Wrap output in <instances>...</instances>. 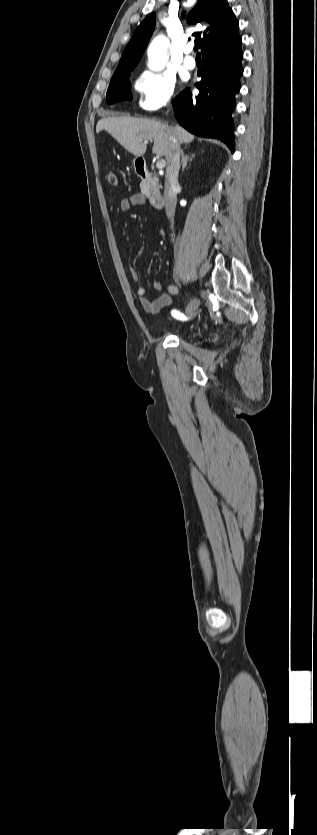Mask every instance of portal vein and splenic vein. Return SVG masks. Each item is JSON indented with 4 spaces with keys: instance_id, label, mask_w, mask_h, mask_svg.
Wrapping results in <instances>:
<instances>
[{
    "instance_id": "obj_1",
    "label": "portal vein and splenic vein",
    "mask_w": 317,
    "mask_h": 835,
    "mask_svg": "<svg viewBox=\"0 0 317 835\" xmlns=\"http://www.w3.org/2000/svg\"><path fill=\"white\" fill-rule=\"evenodd\" d=\"M140 141L143 142L142 140H140ZM165 164H166L165 160H158V162L156 163V167L157 168H163V167H165Z\"/></svg>"
}]
</instances>
